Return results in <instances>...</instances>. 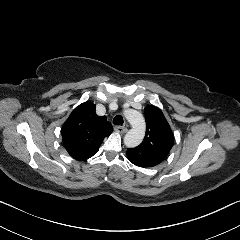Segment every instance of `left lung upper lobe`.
<instances>
[{"mask_svg":"<svg viewBox=\"0 0 240 240\" xmlns=\"http://www.w3.org/2000/svg\"><path fill=\"white\" fill-rule=\"evenodd\" d=\"M146 134L135 148L127 149V157L139 167H153L161 163L173 146V134L162 111L154 106L144 109Z\"/></svg>","mask_w":240,"mask_h":240,"instance_id":"1","label":"left lung upper lobe"}]
</instances>
